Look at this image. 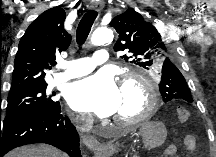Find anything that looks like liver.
Returning <instances> with one entry per match:
<instances>
[{"mask_svg":"<svg viewBox=\"0 0 216 157\" xmlns=\"http://www.w3.org/2000/svg\"><path fill=\"white\" fill-rule=\"evenodd\" d=\"M66 154L62 153L58 149L45 145H27L16 148L6 154V157H65Z\"/></svg>","mask_w":216,"mask_h":157,"instance_id":"obj_1","label":"liver"}]
</instances>
